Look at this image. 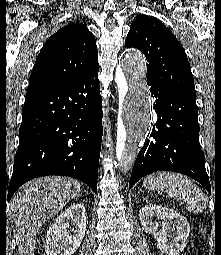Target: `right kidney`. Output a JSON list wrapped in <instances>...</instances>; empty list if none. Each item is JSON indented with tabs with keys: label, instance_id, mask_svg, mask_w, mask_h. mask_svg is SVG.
Returning <instances> with one entry per match:
<instances>
[{
	"label": "right kidney",
	"instance_id": "obj_1",
	"mask_svg": "<svg viewBox=\"0 0 221 255\" xmlns=\"http://www.w3.org/2000/svg\"><path fill=\"white\" fill-rule=\"evenodd\" d=\"M70 223L75 226L70 227ZM70 229L73 234H70ZM86 231L84 204L74 203L59 214L46 235V255H73L79 248Z\"/></svg>",
	"mask_w": 221,
	"mask_h": 255
}]
</instances>
